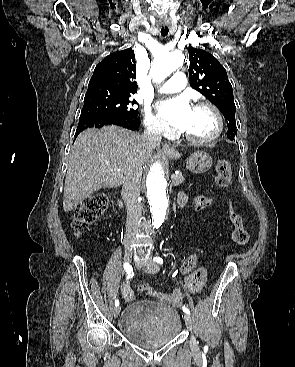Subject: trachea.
<instances>
[{
    "instance_id": "3493384b",
    "label": "trachea",
    "mask_w": 295,
    "mask_h": 367,
    "mask_svg": "<svg viewBox=\"0 0 295 367\" xmlns=\"http://www.w3.org/2000/svg\"><path fill=\"white\" fill-rule=\"evenodd\" d=\"M168 31H169L168 27H162L161 28V35L166 36L168 34Z\"/></svg>"
}]
</instances>
